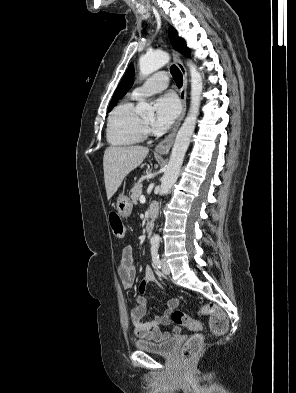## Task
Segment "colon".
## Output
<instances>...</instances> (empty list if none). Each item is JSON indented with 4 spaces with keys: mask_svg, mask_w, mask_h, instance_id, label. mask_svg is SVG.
Segmentation results:
<instances>
[{
    "mask_svg": "<svg viewBox=\"0 0 296 393\" xmlns=\"http://www.w3.org/2000/svg\"><path fill=\"white\" fill-rule=\"evenodd\" d=\"M110 226L113 234L122 238L125 236V227L120 217L115 213L111 212L109 215ZM200 313L210 317V328L212 332L217 335H223L228 329V319L225 312L218 307L216 304L210 303L201 307ZM171 321L176 325L185 326L194 331H202L203 325L192 319L186 313L175 310L170 315ZM203 348V336L201 334H195L188 339L181 349V357L183 361L188 365L195 359Z\"/></svg>",
    "mask_w": 296,
    "mask_h": 393,
    "instance_id": "1",
    "label": "colon"
}]
</instances>
